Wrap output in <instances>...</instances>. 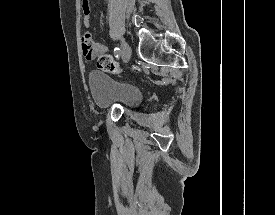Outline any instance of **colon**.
<instances>
[{"instance_id":"colon-1","label":"colon","mask_w":275,"mask_h":215,"mask_svg":"<svg viewBox=\"0 0 275 215\" xmlns=\"http://www.w3.org/2000/svg\"><path fill=\"white\" fill-rule=\"evenodd\" d=\"M88 1V0H83ZM97 66L108 73L112 74H118L120 72V67L117 61H115L111 56L109 55H101L98 58Z\"/></svg>"}]
</instances>
